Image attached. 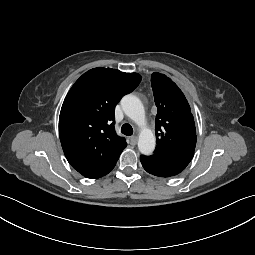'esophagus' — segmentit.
<instances>
[{
  "label": "esophagus",
  "mask_w": 255,
  "mask_h": 255,
  "mask_svg": "<svg viewBox=\"0 0 255 255\" xmlns=\"http://www.w3.org/2000/svg\"><path fill=\"white\" fill-rule=\"evenodd\" d=\"M137 140H138L137 136H131L130 137V143L132 145H136L137 144Z\"/></svg>",
  "instance_id": "obj_1"
}]
</instances>
